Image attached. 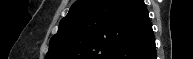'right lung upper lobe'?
<instances>
[{
  "label": "right lung upper lobe",
  "mask_w": 193,
  "mask_h": 59,
  "mask_svg": "<svg viewBox=\"0 0 193 59\" xmlns=\"http://www.w3.org/2000/svg\"><path fill=\"white\" fill-rule=\"evenodd\" d=\"M152 34L143 0H79L61 20L46 59H121Z\"/></svg>",
  "instance_id": "cb5924a9"
}]
</instances>
